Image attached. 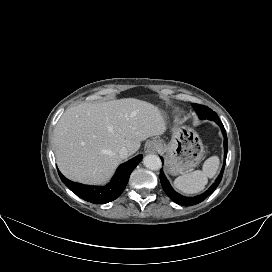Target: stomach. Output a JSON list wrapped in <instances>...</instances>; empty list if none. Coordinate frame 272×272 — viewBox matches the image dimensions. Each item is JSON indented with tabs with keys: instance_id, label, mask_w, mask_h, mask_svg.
Returning a JSON list of instances; mask_svg holds the SVG:
<instances>
[{
	"instance_id": "0dacf381",
	"label": "stomach",
	"mask_w": 272,
	"mask_h": 272,
	"mask_svg": "<svg viewBox=\"0 0 272 272\" xmlns=\"http://www.w3.org/2000/svg\"><path fill=\"white\" fill-rule=\"evenodd\" d=\"M169 143L154 139L158 151L165 154L168 173L178 175L196 167L202 160L205 150L199 135L187 126H175Z\"/></svg>"
}]
</instances>
